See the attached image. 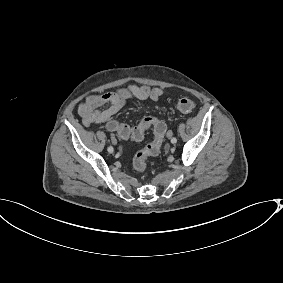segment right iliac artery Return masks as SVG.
<instances>
[{
  "instance_id": "82829eb1",
  "label": "right iliac artery",
  "mask_w": 283,
  "mask_h": 283,
  "mask_svg": "<svg viewBox=\"0 0 283 283\" xmlns=\"http://www.w3.org/2000/svg\"><path fill=\"white\" fill-rule=\"evenodd\" d=\"M107 150H108L109 153H112L113 152V147L109 146Z\"/></svg>"
}]
</instances>
